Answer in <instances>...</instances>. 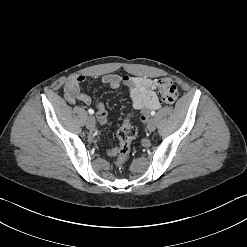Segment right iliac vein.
Wrapping results in <instances>:
<instances>
[{
  "label": "right iliac vein",
  "mask_w": 247,
  "mask_h": 247,
  "mask_svg": "<svg viewBox=\"0 0 247 247\" xmlns=\"http://www.w3.org/2000/svg\"><path fill=\"white\" fill-rule=\"evenodd\" d=\"M95 118L93 116H89L86 120V126L88 129L93 130L95 128Z\"/></svg>",
  "instance_id": "1"
}]
</instances>
